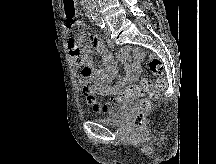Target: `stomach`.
I'll return each instance as SVG.
<instances>
[{"mask_svg": "<svg viewBox=\"0 0 216 164\" xmlns=\"http://www.w3.org/2000/svg\"><path fill=\"white\" fill-rule=\"evenodd\" d=\"M78 0H63L65 3V20H78Z\"/></svg>", "mask_w": 216, "mask_h": 164, "instance_id": "0dacf381", "label": "stomach"}]
</instances>
